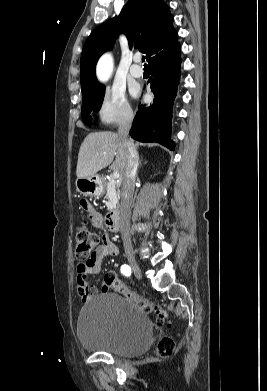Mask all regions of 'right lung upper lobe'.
I'll return each mask as SVG.
<instances>
[{
	"instance_id": "obj_1",
	"label": "right lung upper lobe",
	"mask_w": 267,
	"mask_h": 391,
	"mask_svg": "<svg viewBox=\"0 0 267 391\" xmlns=\"http://www.w3.org/2000/svg\"><path fill=\"white\" fill-rule=\"evenodd\" d=\"M174 18L163 0H130L119 17L98 26L84 44L80 59L82 93L100 85L95 67L99 57L112 48L118 33L123 32L129 47L146 54L147 61L178 43Z\"/></svg>"
}]
</instances>
